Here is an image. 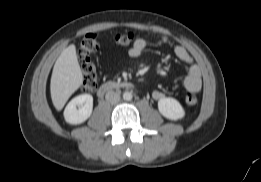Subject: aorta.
I'll return each mask as SVG.
<instances>
[{
  "label": "aorta",
  "instance_id": "762f6f07",
  "mask_svg": "<svg viewBox=\"0 0 261 182\" xmlns=\"http://www.w3.org/2000/svg\"><path fill=\"white\" fill-rule=\"evenodd\" d=\"M132 97H133V95H132V93L129 92V91H125V92L123 93V99L126 100V101L132 100Z\"/></svg>",
  "mask_w": 261,
  "mask_h": 182
}]
</instances>
